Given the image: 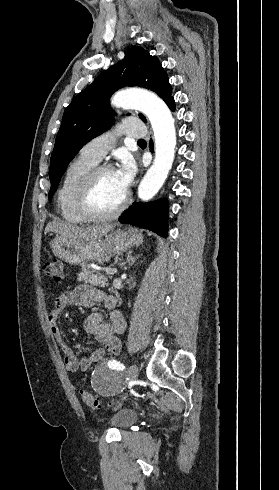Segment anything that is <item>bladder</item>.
<instances>
[{
	"label": "bladder",
	"mask_w": 279,
	"mask_h": 490,
	"mask_svg": "<svg viewBox=\"0 0 279 490\" xmlns=\"http://www.w3.org/2000/svg\"><path fill=\"white\" fill-rule=\"evenodd\" d=\"M138 419V413L133 408L122 409L113 414L108 419V426H115L117 430H123L130 427Z\"/></svg>",
	"instance_id": "bladder-1"
}]
</instances>
